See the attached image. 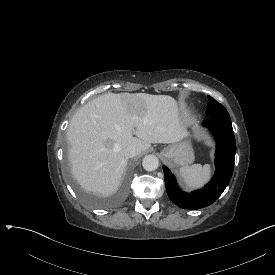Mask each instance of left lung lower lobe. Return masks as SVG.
I'll use <instances>...</instances> for the list:
<instances>
[{
    "label": "left lung lower lobe",
    "instance_id": "obj_1",
    "mask_svg": "<svg viewBox=\"0 0 275 275\" xmlns=\"http://www.w3.org/2000/svg\"><path fill=\"white\" fill-rule=\"evenodd\" d=\"M203 125L212 131L216 140V171L212 180L202 189L186 193L179 188L171 171L163 166L167 194L183 209L196 210L211 205L223 193L233 173L236 143L231 121L208 117Z\"/></svg>",
    "mask_w": 275,
    "mask_h": 275
}]
</instances>
